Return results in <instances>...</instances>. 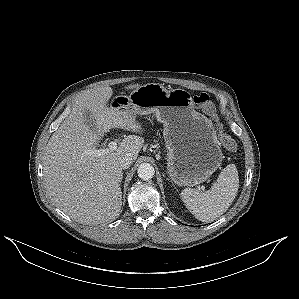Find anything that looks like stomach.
Instances as JSON below:
<instances>
[{
    "mask_svg": "<svg viewBox=\"0 0 299 299\" xmlns=\"http://www.w3.org/2000/svg\"><path fill=\"white\" fill-rule=\"evenodd\" d=\"M112 107L134 115L153 113L163 123L167 170L178 186L198 185L220 167L223 154L213 124L195 110L188 91H168L160 84L149 83L138 87L129 96H116Z\"/></svg>",
    "mask_w": 299,
    "mask_h": 299,
    "instance_id": "0dacf381",
    "label": "stomach"
}]
</instances>
